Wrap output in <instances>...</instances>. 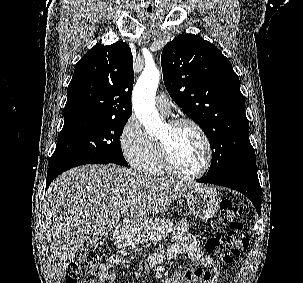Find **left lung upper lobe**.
Wrapping results in <instances>:
<instances>
[{
    "label": "left lung upper lobe",
    "instance_id": "5c2ea615",
    "mask_svg": "<svg viewBox=\"0 0 303 283\" xmlns=\"http://www.w3.org/2000/svg\"><path fill=\"white\" fill-rule=\"evenodd\" d=\"M161 64L171 98L209 138L207 175L255 162L239 77L218 48L197 35L182 34L163 48Z\"/></svg>",
    "mask_w": 303,
    "mask_h": 283
}]
</instances>
